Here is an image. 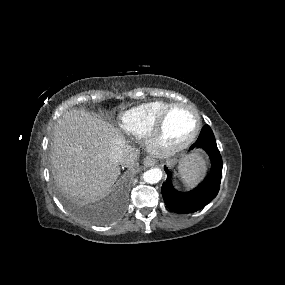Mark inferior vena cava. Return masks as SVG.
<instances>
[{"mask_svg":"<svg viewBox=\"0 0 285 285\" xmlns=\"http://www.w3.org/2000/svg\"><path fill=\"white\" fill-rule=\"evenodd\" d=\"M110 158L112 161L118 164L123 163L122 151L120 149H117L116 151L112 152Z\"/></svg>","mask_w":285,"mask_h":285,"instance_id":"inferior-vena-cava-1","label":"inferior vena cava"}]
</instances>
